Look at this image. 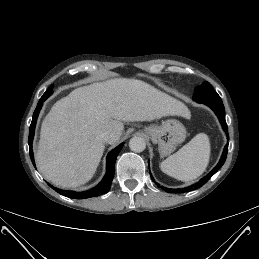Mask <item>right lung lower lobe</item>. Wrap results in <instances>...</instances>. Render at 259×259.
Masks as SVG:
<instances>
[{
    "instance_id": "right-lung-lower-lobe-1",
    "label": "right lung lower lobe",
    "mask_w": 259,
    "mask_h": 259,
    "mask_svg": "<svg viewBox=\"0 0 259 259\" xmlns=\"http://www.w3.org/2000/svg\"><path fill=\"white\" fill-rule=\"evenodd\" d=\"M46 99H47L46 96H42L40 98V100L37 104V107L34 111L32 122H31V125H30V130H29V138H28L29 153H30V157H31V160H32V163H33L34 166H35V162H34V157H33V152H32V141H33V137H34V129H35V125H36V121H37L39 111L42 107V103ZM123 145H124V143H121L119 146H117L115 149H113L108 154L106 174H105L104 178L102 179V181L96 187H94L90 190H87V191H82V192L65 191V190H60V189L55 188V187H53V189L56 190L61 195H64V196L69 197V198H75V199H86V198L96 197V196H99L101 194L107 193L110 189V185H111V182L113 180L115 161H116V158H117L120 150L122 149Z\"/></svg>"
}]
</instances>
